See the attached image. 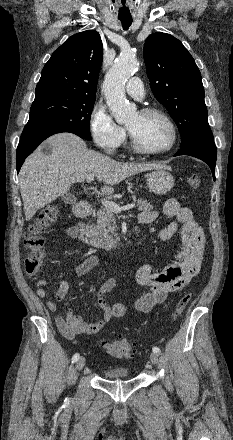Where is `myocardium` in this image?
Returning a JSON list of instances; mask_svg holds the SVG:
<instances>
[{
  "instance_id": "obj_1",
  "label": "myocardium",
  "mask_w": 233,
  "mask_h": 440,
  "mask_svg": "<svg viewBox=\"0 0 233 440\" xmlns=\"http://www.w3.org/2000/svg\"><path fill=\"white\" fill-rule=\"evenodd\" d=\"M139 113L142 115H158L160 117H162L167 124L170 127L171 130V140L170 143L163 149H159V150H149L145 147H143L138 139L135 137V135L127 128L129 137H130V142H131V147L132 149L142 155H146V156H158V155H162L165 154L169 151H171L176 143H177V139H178V130L177 127L174 123V121L172 120V118L170 117V115L168 113H166L164 110L160 109V108H156V107H145L142 108L141 110H139Z\"/></svg>"
}]
</instances>
